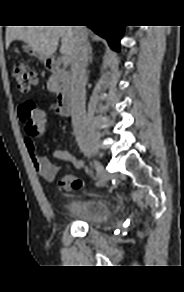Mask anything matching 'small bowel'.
Instances as JSON below:
<instances>
[{
    "label": "small bowel",
    "mask_w": 184,
    "mask_h": 292,
    "mask_svg": "<svg viewBox=\"0 0 184 292\" xmlns=\"http://www.w3.org/2000/svg\"><path fill=\"white\" fill-rule=\"evenodd\" d=\"M25 145L30 154L31 161L35 171L43 177L46 181H53L60 170L58 165L53 164L47 158H44L37 154L36 152V144L33 138L26 135L25 137ZM53 158H56L61 161L70 162L74 168L81 169L84 166L83 161L78 158L75 154L71 153L67 150L58 149L53 151ZM59 187L63 191H67L70 189L68 184V176L63 177L59 182Z\"/></svg>",
    "instance_id": "small-bowel-1"
}]
</instances>
